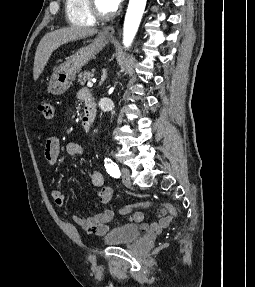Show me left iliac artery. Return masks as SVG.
Wrapping results in <instances>:
<instances>
[{
	"instance_id": "obj_1",
	"label": "left iliac artery",
	"mask_w": 255,
	"mask_h": 287,
	"mask_svg": "<svg viewBox=\"0 0 255 287\" xmlns=\"http://www.w3.org/2000/svg\"><path fill=\"white\" fill-rule=\"evenodd\" d=\"M105 168L108 174H110L114 178L120 177V170L117 164L111 161L109 158H105Z\"/></svg>"
}]
</instances>
